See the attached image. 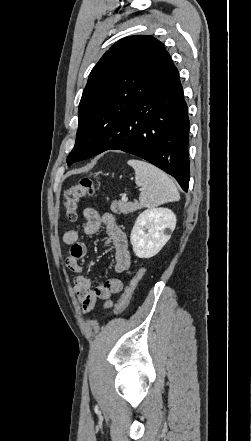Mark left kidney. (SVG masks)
<instances>
[{"label":"left kidney","mask_w":251,"mask_h":441,"mask_svg":"<svg viewBox=\"0 0 251 441\" xmlns=\"http://www.w3.org/2000/svg\"><path fill=\"white\" fill-rule=\"evenodd\" d=\"M176 216L168 208H149L136 219L130 241L139 258L155 256L168 242L176 227Z\"/></svg>","instance_id":"left-kidney-1"}]
</instances>
